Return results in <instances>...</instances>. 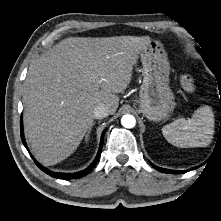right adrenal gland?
<instances>
[{
	"label": "right adrenal gland",
	"instance_id": "right-adrenal-gland-1",
	"mask_svg": "<svg viewBox=\"0 0 221 221\" xmlns=\"http://www.w3.org/2000/svg\"><path fill=\"white\" fill-rule=\"evenodd\" d=\"M94 124H95V122H93V123L91 124V126L89 127V130H88V132H87V134H86V138H85L86 141H88L89 134H90V132H91L92 127H93Z\"/></svg>",
	"mask_w": 221,
	"mask_h": 221
}]
</instances>
